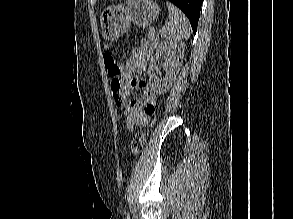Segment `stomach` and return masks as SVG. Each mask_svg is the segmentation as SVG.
Returning a JSON list of instances; mask_svg holds the SVG:
<instances>
[{
	"instance_id": "obj_1",
	"label": "stomach",
	"mask_w": 293,
	"mask_h": 219,
	"mask_svg": "<svg viewBox=\"0 0 293 219\" xmlns=\"http://www.w3.org/2000/svg\"><path fill=\"white\" fill-rule=\"evenodd\" d=\"M160 7L152 0H127L120 5L105 8L100 14L103 37L118 40L131 24L147 27L159 15Z\"/></svg>"
}]
</instances>
